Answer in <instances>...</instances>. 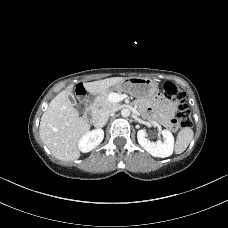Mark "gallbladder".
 I'll return each instance as SVG.
<instances>
[{
	"label": "gallbladder",
	"instance_id": "bac80fb5",
	"mask_svg": "<svg viewBox=\"0 0 228 228\" xmlns=\"http://www.w3.org/2000/svg\"><path fill=\"white\" fill-rule=\"evenodd\" d=\"M69 98H70L73 102H75V98H74V96H73L72 94L69 96Z\"/></svg>",
	"mask_w": 228,
	"mask_h": 228
}]
</instances>
